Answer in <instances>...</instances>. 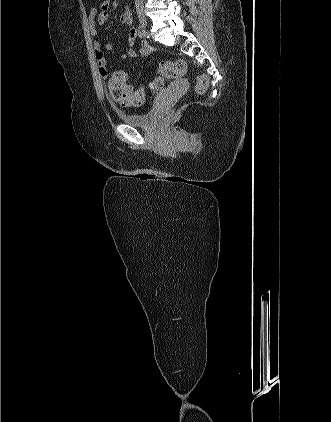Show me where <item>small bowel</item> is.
<instances>
[{
  "label": "small bowel",
  "instance_id": "obj_1",
  "mask_svg": "<svg viewBox=\"0 0 331 422\" xmlns=\"http://www.w3.org/2000/svg\"><path fill=\"white\" fill-rule=\"evenodd\" d=\"M110 1L111 0H101L98 6H95L90 10V13L88 16V25H89L91 34L93 36H97L98 28L105 26L108 21ZM120 22L123 25H125L127 28L128 44H129L128 49L126 50L125 53L121 55V58L122 59L134 58L137 55H140L142 57L148 56L151 52V48L147 41L145 40L141 41L140 48L138 51H136L133 48V44L137 37L138 31L134 25L132 15L128 9H126L125 12L120 16ZM93 46L95 50V57H96L99 74L104 80L109 81L111 75L107 66L105 51H111L113 49V46L109 43L103 46L97 40L94 42ZM159 86H160L159 83L155 84V87H159ZM121 103L126 106L130 105L129 102H121Z\"/></svg>",
  "mask_w": 331,
  "mask_h": 422
}]
</instances>
